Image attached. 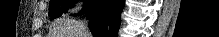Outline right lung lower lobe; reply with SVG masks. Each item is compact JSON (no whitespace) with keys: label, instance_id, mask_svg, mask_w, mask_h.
Returning a JSON list of instances; mask_svg holds the SVG:
<instances>
[{"label":"right lung lower lobe","instance_id":"obj_1","mask_svg":"<svg viewBox=\"0 0 219 37\" xmlns=\"http://www.w3.org/2000/svg\"><path fill=\"white\" fill-rule=\"evenodd\" d=\"M125 0H86L79 15L86 13L94 37H117Z\"/></svg>","mask_w":219,"mask_h":37}]
</instances>
